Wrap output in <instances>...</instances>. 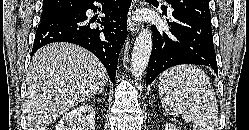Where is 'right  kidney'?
Masks as SVG:
<instances>
[{
    "label": "right kidney",
    "mask_w": 249,
    "mask_h": 130,
    "mask_svg": "<svg viewBox=\"0 0 249 130\" xmlns=\"http://www.w3.org/2000/svg\"><path fill=\"white\" fill-rule=\"evenodd\" d=\"M94 125L93 107L83 104L66 113L56 126V130H94Z\"/></svg>",
    "instance_id": "1"
}]
</instances>
